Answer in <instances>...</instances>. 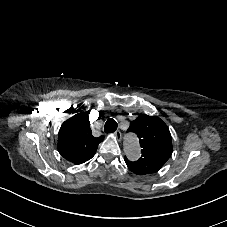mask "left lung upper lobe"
<instances>
[{
    "instance_id": "1",
    "label": "left lung upper lobe",
    "mask_w": 227,
    "mask_h": 227,
    "mask_svg": "<svg viewBox=\"0 0 227 227\" xmlns=\"http://www.w3.org/2000/svg\"><path fill=\"white\" fill-rule=\"evenodd\" d=\"M128 132L137 134L142 148V155L137 161L131 162L125 157V163L133 173L152 174L158 171L171 156V134L159 117L140 115L130 122Z\"/></svg>"
}]
</instances>
